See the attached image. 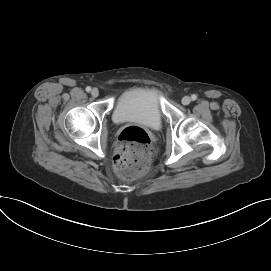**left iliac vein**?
Returning <instances> with one entry per match:
<instances>
[{
    "instance_id": "obj_1",
    "label": "left iliac vein",
    "mask_w": 271,
    "mask_h": 271,
    "mask_svg": "<svg viewBox=\"0 0 271 271\" xmlns=\"http://www.w3.org/2000/svg\"><path fill=\"white\" fill-rule=\"evenodd\" d=\"M191 102V98L189 96H184L182 98V104L183 105H188Z\"/></svg>"
}]
</instances>
